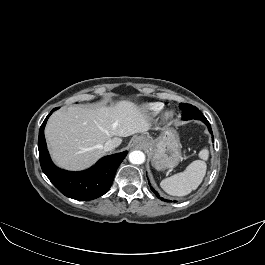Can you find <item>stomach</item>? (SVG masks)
Returning a JSON list of instances; mask_svg holds the SVG:
<instances>
[{
	"label": "stomach",
	"mask_w": 265,
	"mask_h": 265,
	"mask_svg": "<svg viewBox=\"0 0 265 265\" xmlns=\"http://www.w3.org/2000/svg\"><path fill=\"white\" fill-rule=\"evenodd\" d=\"M138 139L141 145L149 151L152 165L157 170L173 168L178 165L181 159V144L175 130L166 129L156 139L148 135L140 136Z\"/></svg>",
	"instance_id": "0dacf381"
}]
</instances>
